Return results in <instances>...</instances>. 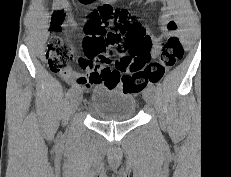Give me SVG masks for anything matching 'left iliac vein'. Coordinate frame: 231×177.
<instances>
[{
	"instance_id": "4c4485c4",
	"label": "left iliac vein",
	"mask_w": 231,
	"mask_h": 177,
	"mask_svg": "<svg viewBox=\"0 0 231 177\" xmlns=\"http://www.w3.org/2000/svg\"><path fill=\"white\" fill-rule=\"evenodd\" d=\"M143 98L148 105L150 106L153 105L154 102L153 90L148 87L143 93Z\"/></svg>"
}]
</instances>
